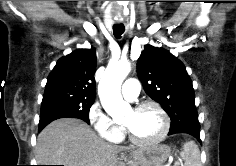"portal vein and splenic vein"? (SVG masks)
Segmentation results:
<instances>
[{"instance_id": "obj_1", "label": "portal vein and splenic vein", "mask_w": 236, "mask_h": 166, "mask_svg": "<svg viewBox=\"0 0 236 166\" xmlns=\"http://www.w3.org/2000/svg\"><path fill=\"white\" fill-rule=\"evenodd\" d=\"M178 165H179V163H178V162H176L174 166H178Z\"/></svg>"}]
</instances>
